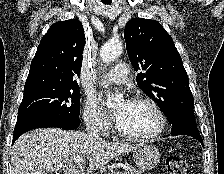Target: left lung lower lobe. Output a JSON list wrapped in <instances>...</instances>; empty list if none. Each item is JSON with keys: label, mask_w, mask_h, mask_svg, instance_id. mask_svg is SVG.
<instances>
[{"label": "left lung lower lobe", "mask_w": 224, "mask_h": 174, "mask_svg": "<svg viewBox=\"0 0 224 174\" xmlns=\"http://www.w3.org/2000/svg\"><path fill=\"white\" fill-rule=\"evenodd\" d=\"M169 123L171 125L172 136H192L203 145V140L196 125L193 109L180 110Z\"/></svg>", "instance_id": "left-lung-lower-lobe-1"}]
</instances>
